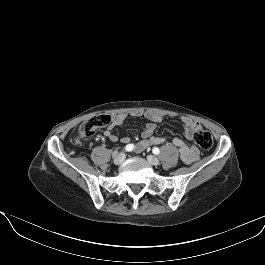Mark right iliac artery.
Instances as JSON below:
<instances>
[{
  "label": "right iliac artery",
  "instance_id": "82829eb1",
  "mask_svg": "<svg viewBox=\"0 0 265 265\" xmlns=\"http://www.w3.org/2000/svg\"><path fill=\"white\" fill-rule=\"evenodd\" d=\"M133 149H134V145L133 144H128L125 147V150L128 151V152L132 151Z\"/></svg>",
  "mask_w": 265,
  "mask_h": 265
}]
</instances>
